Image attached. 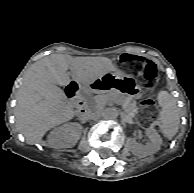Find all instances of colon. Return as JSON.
<instances>
[{
	"mask_svg": "<svg viewBox=\"0 0 194 193\" xmlns=\"http://www.w3.org/2000/svg\"><path fill=\"white\" fill-rule=\"evenodd\" d=\"M122 68L125 72L140 74L144 84L153 85L158 76L157 68L152 62L133 55H127L121 58ZM143 121L145 123L154 122L158 118V113L154 108V101L151 95H146L142 100Z\"/></svg>",
	"mask_w": 194,
	"mask_h": 193,
	"instance_id": "obj_1",
	"label": "colon"
}]
</instances>
